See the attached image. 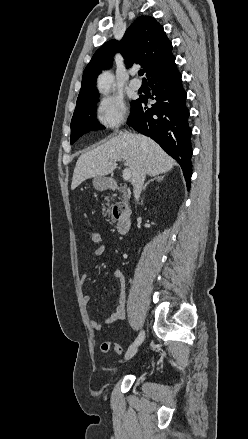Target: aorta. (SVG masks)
<instances>
[{"instance_id": "aorta-1", "label": "aorta", "mask_w": 248, "mask_h": 439, "mask_svg": "<svg viewBox=\"0 0 248 439\" xmlns=\"http://www.w3.org/2000/svg\"><path fill=\"white\" fill-rule=\"evenodd\" d=\"M114 77L112 73L105 71L98 78V89L103 94H108L112 88Z\"/></svg>"}]
</instances>
